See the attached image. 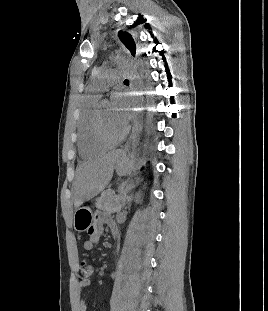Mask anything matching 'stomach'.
Listing matches in <instances>:
<instances>
[{"instance_id":"0dacf381","label":"stomach","mask_w":268,"mask_h":311,"mask_svg":"<svg viewBox=\"0 0 268 311\" xmlns=\"http://www.w3.org/2000/svg\"><path fill=\"white\" fill-rule=\"evenodd\" d=\"M133 166V161L128 155L120 157L115 169L118 175L122 176L130 171ZM93 221V213L89 207H78L74 212L73 226L78 232L88 231Z\"/></svg>"}]
</instances>
